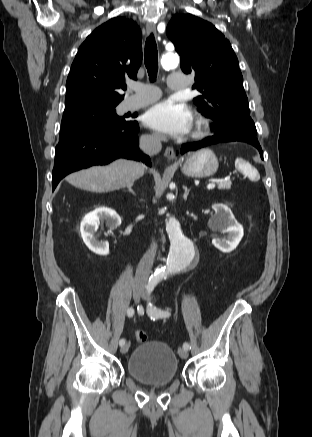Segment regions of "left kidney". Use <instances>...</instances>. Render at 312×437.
Listing matches in <instances>:
<instances>
[{"mask_svg": "<svg viewBox=\"0 0 312 437\" xmlns=\"http://www.w3.org/2000/svg\"><path fill=\"white\" fill-rule=\"evenodd\" d=\"M215 215L209 220L208 226L213 231L227 233L226 238L215 237L212 244L224 253L233 251L243 237V226L236 220L230 208L224 204L213 205Z\"/></svg>", "mask_w": 312, "mask_h": 437, "instance_id": "left-kidney-1", "label": "left kidney"}]
</instances>
